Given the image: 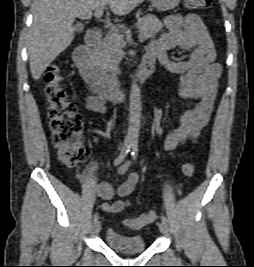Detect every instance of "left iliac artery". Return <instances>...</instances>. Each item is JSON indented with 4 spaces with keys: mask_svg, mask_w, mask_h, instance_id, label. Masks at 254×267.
Wrapping results in <instances>:
<instances>
[{
    "mask_svg": "<svg viewBox=\"0 0 254 267\" xmlns=\"http://www.w3.org/2000/svg\"><path fill=\"white\" fill-rule=\"evenodd\" d=\"M131 155H132L133 160H136L137 155H138V142L136 140L132 142V152H131ZM161 220L163 222H165L166 224L168 223V220H167V218L164 215L161 216Z\"/></svg>",
    "mask_w": 254,
    "mask_h": 267,
    "instance_id": "obj_1",
    "label": "left iliac artery"
}]
</instances>
